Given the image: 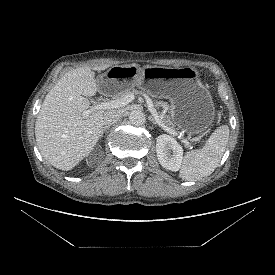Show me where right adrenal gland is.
<instances>
[{"label": "right adrenal gland", "instance_id": "right-adrenal-gland-1", "mask_svg": "<svg viewBox=\"0 0 275 275\" xmlns=\"http://www.w3.org/2000/svg\"><path fill=\"white\" fill-rule=\"evenodd\" d=\"M109 129V126H104L101 131V136H103L104 132Z\"/></svg>", "mask_w": 275, "mask_h": 275}]
</instances>
